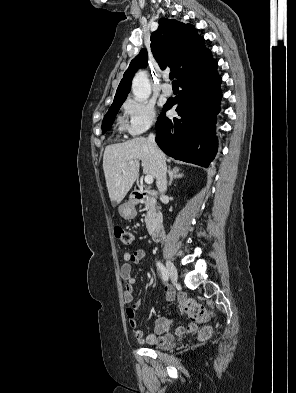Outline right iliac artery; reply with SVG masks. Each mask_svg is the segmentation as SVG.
Here are the masks:
<instances>
[{
  "instance_id": "right-iliac-artery-1",
  "label": "right iliac artery",
  "mask_w": 296,
  "mask_h": 393,
  "mask_svg": "<svg viewBox=\"0 0 296 393\" xmlns=\"http://www.w3.org/2000/svg\"><path fill=\"white\" fill-rule=\"evenodd\" d=\"M157 266L161 272L162 279L167 282L169 279V276H168V272H167L166 268L160 262H157Z\"/></svg>"
}]
</instances>
